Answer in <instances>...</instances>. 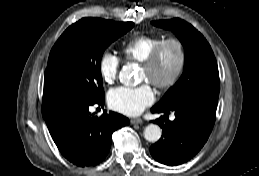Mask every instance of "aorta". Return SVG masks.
Masks as SVG:
<instances>
[{
    "mask_svg": "<svg viewBox=\"0 0 259 176\" xmlns=\"http://www.w3.org/2000/svg\"><path fill=\"white\" fill-rule=\"evenodd\" d=\"M120 81L125 86H133L137 84L136 68L133 64L123 66L119 75ZM162 130L156 124H149L144 130V138L152 143L157 142L161 138Z\"/></svg>",
    "mask_w": 259,
    "mask_h": 176,
    "instance_id": "obj_1",
    "label": "aorta"
}]
</instances>
